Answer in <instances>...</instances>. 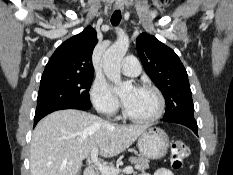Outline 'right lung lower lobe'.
Wrapping results in <instances>:
<instances>
[{"instance_id": "1", "label": "right lung lower lobe", "mask_w": 233, "mask_h": 175, "mask_svg": "<svg viewBox=\"0 0 233 175\" xmlns=\"http://www.w3.org/2000/svg\"><path fill=\"white\" fill-rule=\"evenodd\" d=\"M62 109H79V110H88L90 108H86V107H79V106H56V107H50L47 108L43 111L37 112L35 113V117H34V126L37 124V122L43 118L44 116H46L47 114L57 111V110H62Z\"/></svg>"}]
</instances>
